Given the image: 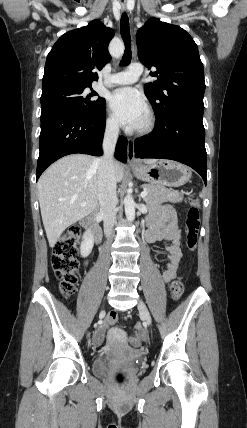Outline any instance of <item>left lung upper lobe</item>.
<instances>
[{"instance_id": "left-lung-upper-lobe-1", "label": "left lung upper lobe", "mask_w": 247, "mask_h": 428, "mask_svg": "<svg viewBox=\"0 0 247 428\" xmlns=\"http://www.w3.org/2000/svg\"><path fill=\"white\" fill-rule=\"evenodd\" d=\"M138 57L158 79L144 86L156 118L176 106L204 109V68L198 47L182 28L151 18L136 35Z\"/></svg>"}]
</instances>
